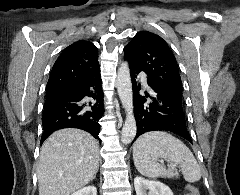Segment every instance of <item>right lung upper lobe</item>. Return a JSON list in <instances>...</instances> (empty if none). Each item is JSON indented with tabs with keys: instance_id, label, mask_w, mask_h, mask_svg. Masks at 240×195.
<instances>
[{
	"instance_id": "right-lung-upper-lobe-1",
	"label": "right lung upper lobe",
	"mask_w": 240,
	"mask_h": 195,
	"mask_svg": "<svg viewBox=\"0 0 240 195\" xmlns=\"http://www.w3.org/2000/svg\"><path fill=\"white\" fill-rule=\"evenodd\" d=\"M100 75L97 48L88 41H77L65 48L53 65L47 89L77 85Z\"/></svg>"
}]
</instances>
